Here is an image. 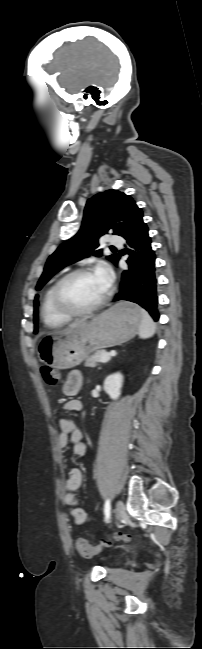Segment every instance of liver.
Listing matches in <instances>:
<instances>
[{"label": "liver", "mask_w": 202, "mask_h": 649, "mask_svg": "<svg viewBox=\"0 0 202 649\" xmlns=\"http://www.w3.org/2000/svg\"><path fill=\"white\" fill-rule=\"evenodd\" d=\"M86 321H87L86 318L76 320L75 322H73V323H71V324L69 325V328H74V327L80 326L81 324H83V323L86 322Z\"/></svg>", "instance_id": "obj_1"}]
</instances>
